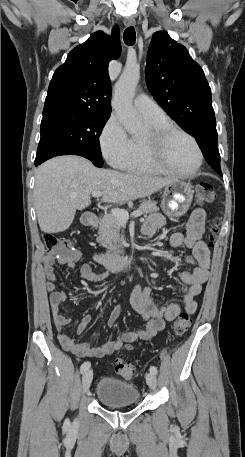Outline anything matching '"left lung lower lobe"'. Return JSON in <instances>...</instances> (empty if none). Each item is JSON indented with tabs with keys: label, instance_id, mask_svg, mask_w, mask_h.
I'll return each mask as SVG.
<instances>
[{
	"label": "left lung lower lobe",
	"instance_id": "obj_1",
	"mask_svg": "<svg viewBox=\"0 0 245 457\" xmlns=\"http://www.w3.org/2000/svg\"><path fill=\"white\" fill-rule=\"evenodd\" d=\"M196 140L208 164L220 175V154L217 145L216 127L208 128L205 132L197 135Z\"/></svg>",
	"mask_w": 245,
	"mask_h": 457
}]
</instances>
